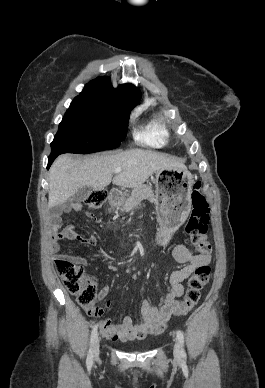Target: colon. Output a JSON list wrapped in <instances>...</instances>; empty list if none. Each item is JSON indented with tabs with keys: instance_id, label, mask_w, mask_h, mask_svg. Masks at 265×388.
Listing matches in <instances>:
<instances>
[{
	"instance_id": "colon-1",
	"label": "colon",
	"mask_w": 265,
	"mask_h": 388,
	"mask_svg": "<svg viewBox=\"0 0 265 388\" xmlns=\"http://www.w3.org/2000/svg\"><path fill=\"white\" fill-rule=\"evenodd\" d=\"M200 186V183L197 182L192 190V211L185 231L199 254L208 255L211 252V244L208 241L210 205ZM106 198L107 191L97 189L88 195L85 202L91 209H99ZM61 235L66 239H75L78 236L71 228L64 229ZM56 268L67 290L76 296L77 302L88 313H91L97 297V289L93 279L85 274L82 266L64 258L56 260ZM210 273L208 265L197 267L188 280L186 294L176 307L175 314H185L198 303L201 290L209 282Z\"/></svg>"
}]
</instances>
